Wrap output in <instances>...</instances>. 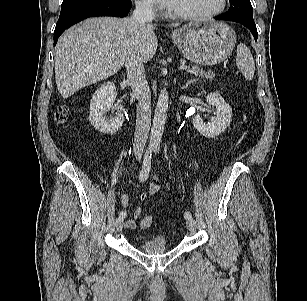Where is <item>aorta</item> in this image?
<instances>
[{
    "label": "aorta",
    "mask_w": 307,
    "mask_h": 301,
    "mask_svg": "<svg viewBox=\"0 0 307 301\" xmlns=\"http://www.w3.org/2000/svg\"><path fill=\"white\" fill-rule=\"evenodd\" d=\"M168 105H169V96L166 88H164L160 91V94L158 96V101L152 122L150 142H149V146L151 148L160 147L164 126L167 118Z\"/></svg>",
    "instance_id": "aorta-1"
}]
</instances>
